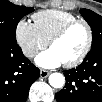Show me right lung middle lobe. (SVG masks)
Segmentation results:
<instances>
[{
  "label": "right lung middle lobe",
  "mask_w": 102,
  "mask_h": 102,
  "mask_svg": "<svg viewBox=\"0 0 102 102\" xmlns=\"http://www.w3.org/2000/svg\"><path fill=\"white\" fill-rule=\"evenodd\" d=\"M32 7L17 6L9 1H0V42L17 44L16 27L25 15L33 12Z\"/></svg>",
  "instance_id": "1"
}]
</instances>
